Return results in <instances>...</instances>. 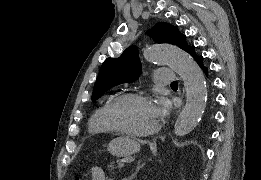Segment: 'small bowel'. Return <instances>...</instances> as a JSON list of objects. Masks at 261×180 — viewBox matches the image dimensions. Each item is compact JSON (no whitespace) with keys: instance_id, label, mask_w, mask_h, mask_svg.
Listing matches in <instances>:
<instances>
[{"instance_id":"obj_1","label":"small bowel","mask_w":261,"mask_h":180,"mask_svg":"<svg viewBox=\"0 0 261 180\" xmlns=\"http://www.w3.org/2000/svg\"><path fill=\"white\" fill-rule=\"evenodd\" d=\"M91 175L94 180H105L106 179L105 173L98 166L92 167Z\"/></svg>"}]
</instances>
